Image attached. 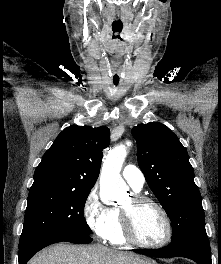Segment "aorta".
Returning a JSON list of instances; mask_svg holds the SVG:
<instances>
[{
    "instance_id": "aorta-1",
    "label": "aorta",
    "mask_w": 221,
    "mask_h": 264,
    "mask_svg": "<svg viewBox=\"0 0 221 264\" xmlns=\"http://www.w3.org/2000/svg\"><path fill=\"white\" fill-rule=\"evenodd\" d=\"M127 156V149L120 145L106 156L100 174V197L104 202L117 201L127 191V185L120 175L122 165Z\"/></svg>"
}]
</instances>
